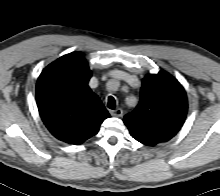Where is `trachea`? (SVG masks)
<instances>
[{
  "label": "trachea",
  "mask_w": 220,
  "mask_h": 196,
  "mask_svg": "<svg viewBox=\"0 0 220 196\" xmlns=\"http://www.w3.org/2000/svg\"><path fill=\"white\" fill-rule=\"evenodd\" d=\"M107 107L110 108V109H115L116 101H115L114 97H112V96L108 97Z\"/></svg>",
  "instance_id": "1"
}]
</instances>
